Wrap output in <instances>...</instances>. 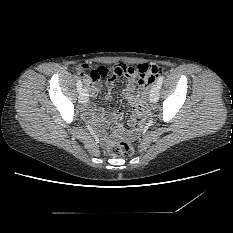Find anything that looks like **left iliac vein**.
<instances>
[{
	"mask_svg": "<svg viewBox=\"0 0 233 233\" xmlns=\"http://www.w3.org/2000/svg\"><path fill=\"white\" fill-rule=\"evenodd\" d=\"M159 90H160V88L158 87L157 84L154 85V86L152 87V89H151V91H150V96H149L150 101H151L152 103H155V102L158 101V98H159Z\"/></svg>",
	"mask_w": 233,
	"mask_h": 233,
	"instance_id": "4c4485c4",
	"label": "left iliac vein"
}]
</instances>
